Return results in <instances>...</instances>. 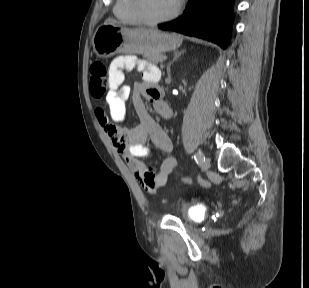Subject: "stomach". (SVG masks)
Returning a JSON list of instances; mask_svg holds the SVG:
<instances>
[{"instance_id": "stomach-1", "label": "stomach", "mask_w": 309, "mask_h": 288, "mask_svg": "<svg viewBox=\"0 0 309 288\" xmlns=\"http://www.w3.org/2000/svg\"><path fill=\"white\" fill-rule=\"evenodd\" d=\"M183 37L155 29L127 28L106 22L100 25L92 38L93 51L99 58L119 53L148 55L162 54L178 48Z\"/></svg>"}]
</instances>
